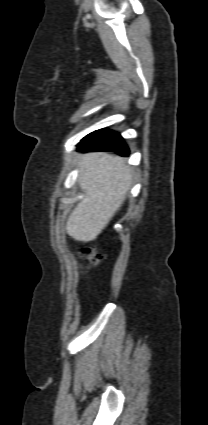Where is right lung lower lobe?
<instances>
[{
  "label": "right lung lower lobe",
  "instance_id": "obj_1",
  "mask_svg": "<svg viewBox=\"0 0 208 425\" xmlns=\"http://www.w3.org/2000/svg\"><path fill=\"white\" fill-rule=\"evenodd\" d=\"M80 152H116L127 156L129 150L117 132L100 129L84 137L78 144Z\"/></svg>",
  "mask_w": 208,
  "mask_h": 425
}]
</instances>
